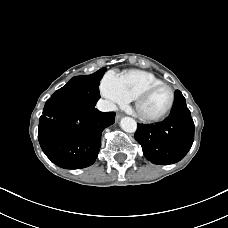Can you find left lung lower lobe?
Returning <instances> with one entry per match:
<instances>
[{
    "mask_svg": "<svg viewBox=\"0 0 228 228\" xmlns=\"http://www.w3.org/2000/svg\"><path fill=\"white\" fill-rule=\"evenodd\" d=\"M170 115L160 123L138 124L134 135L147 160L158 165L180 161L194 141V122L182 93L174 94Z\"/></svg>",
    "mask_w": 228,
    "mask_h": 228,
    "instance_id": "obj_1",
    "label": "left lung lower lobe"
}]
</instances>
